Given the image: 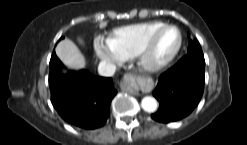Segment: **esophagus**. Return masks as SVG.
<instances>
[{
    "mask_svg": "<svg viewBox=\"0 0 247 145\" xmlns=\"http://www.w3.org/2000/svg\"><path fill=\"white\" fill-rule=\"evenodd\" d=\"M120 88L124 92H128L133 95H139L137 80L130 74H126L124 76V80L121 82Z\"/></svg>",
    "mask_w": 247,
    "mask_h": 145,
    "instance_id": "1",
    "label": "esophagus"
}]
</instances>
